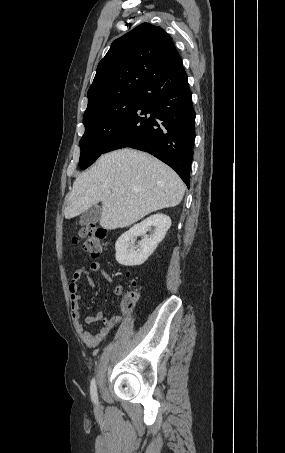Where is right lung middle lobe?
<instances>
[{"mask_svg": "<svg viewBox=\"0 0 285 453\" xmlns=\"http://www.w3.org/2000/svg\"><path fill=\"white\" fill-rule=\"evenodd\" d=\"M141 98V92L127 93L109 99L85 111V133L80 140V168L93 164L121 129Z\"/></svg>", "mask_w": 285, "mask_h": 453, "instance_id": "right-lung-middle-lobe-1", "label": "right lung middle lobe"}]
</instances>
